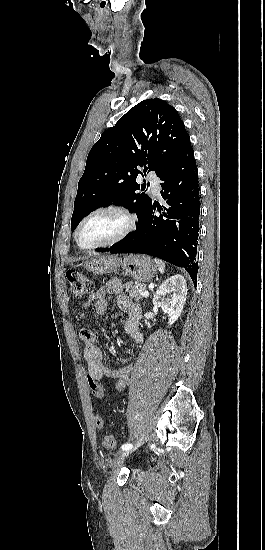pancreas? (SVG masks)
I'll use <instances>...</instances> for the list:
<instances>
[{"label": "pancreas", "mask_w": 265, "mask_h": 550, "mask_svg": "<svg viewBox=\"0 0 265 550\" xmlns=\"http://www.w3.org/2000/svg\"><path fill=\"white\" fill-rule=\"evenodd\" d=\"M124 288L126 289L129 298L138 301L142 299V292L146 290V285L127 282L124 284Z\"/></svg>", "instance_id": "pancreas-1"}]
</instances>
